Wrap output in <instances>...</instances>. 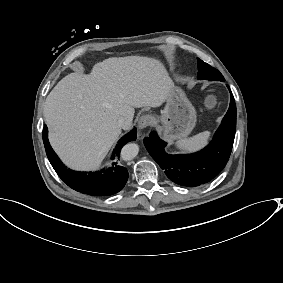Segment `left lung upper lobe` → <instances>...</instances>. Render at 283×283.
<instances>
[{"instance_id": "obj_1", "label": "left lung upper lobe", "mask_w": 283, "mask_h": 283, "mask_svg": "<svg viewBox=\"0 0 283 283\" xmlns=\"http://www.w3.org/2000/svg\"><path fill=\"white\" fill-rule=\"evenodd\" d=\"M198 79L199 80H219L225 81L222 74L215 68L211 67L209 64L198 59Z\"/></svg>"}]
</instances>
